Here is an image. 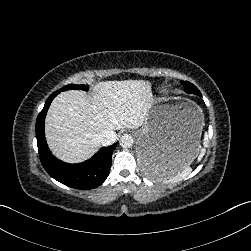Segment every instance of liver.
Listing matches in <instances>:
<instances>
[{
  "label": "liver",
  "mask_w": 251,
  "mask_h": 251,
  "mask_svg": "<svg viewBox=\"0 0 251 251\" xmlns=\"http://www.w3.org/2000/svg\"><path fill=\"white\" fill-rule=\"evenodd\" d=\"M95 94L70 90L51 103L45 119V134L53 154L69 163L90 158L101 143L104 130L137 129L152 105L151 83L144 80L99 82Z\"/></svg>",
  "instance_id": "liver-1"
}]
</instances>
